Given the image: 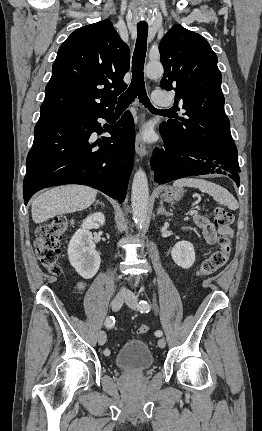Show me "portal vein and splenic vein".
<instances>
[{"label": "portal vein and splenic vein", "mask_w": 262, "mask_h": 431, "mask_svg": "<svg viewBox=\"0 0 262 431\" xmlns=\"http://www.w3.org/2000/svg\"><path fill=\"white\" fill-rule=\"evenodd\" d=\"M198 211L197 210H191L189 213L190 215L196 214Z\"/></svg>", "instance_id": "obj_1"}]
</instances>
